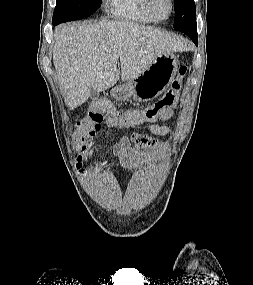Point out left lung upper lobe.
<instances>
[{
  "label": "left lung upper lobe",
  "mask_w": 253,
  "mask_h": 285,
  "mask_svg": "<svg viewBox=\"0 0 253 285\" xmlns=\"http://www.w3.org/2000/svg\"><path fill=\"white\" fill-rule=\"evenodd\" d=\"M175 23L174 29L184 32L196 26V8L194 0H174Z\"/></svg>",
  "instance_id": "obj_1"
}]
</instances>
